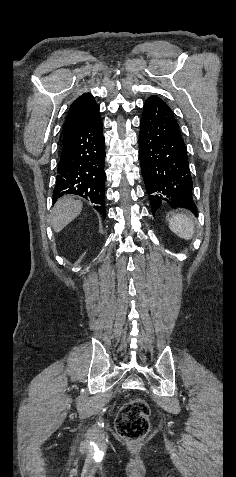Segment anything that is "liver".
Wrapping results in <instances>:
<instances>
[{
    "instance_id": "6515ba94",
    "label": "liver",
    "mask_w": 236,
    "mask_h": 477,
    "mask_svg": "<svg viewBox=\"0 0 236 477\" xmlns=\"http://www.w3.org/2000/svg\"><path fill=\"white\" fill-rule=\"evenodd\" d=\"M81 201L74 200L69 196L60 198L52 211L51 225L55 232H60L73 221L82 211Z\"/></svg>"
}]
</instances>
